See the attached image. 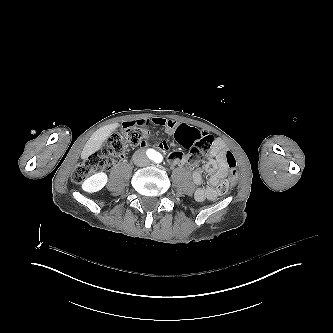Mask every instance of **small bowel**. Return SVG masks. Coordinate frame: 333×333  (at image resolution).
Masks as SVG:
<instances>
[{
	"instance_id": "1",
	"label": "small bowel",
	"mask_w": 333,
	"mask_h": 333,
	"mask_svg": "<svg viewBox=\"0 0 333 333\" xmlns=\"http://www.w3.org/2000/svg\"><path fill=\"white\" fill-rule=\"evenodd\" d=\"M135 125L140 126H149L154 125L158 127H163L168 131H175L177 128L185 126L184 124L164 118V117H151V118H141L134 122ZM193 130V129H191ZM199 134H202L196 130H193ZM149 148H159L164 151L170 149V145L167 142L158 143L157 141H143L140 144V148L145 150ZM228 153V148L226 143L222 139H214L211 149L207 153V161L202 170H196L192 179L193 182L199 186L195 191V199L198 202H203L205 200L214 201L219 196L223 194L221 191V185L224 183V180L229 172L232 169H236L235 159L230 162L226 159V154ZM167 161L170 165L173 166H186L188 164L187 156L179 150L170 151L167 155ZM207 173L209 175L207 185L201 186L204 181L203 174Z\"/></svg>"
}]
</instances>
